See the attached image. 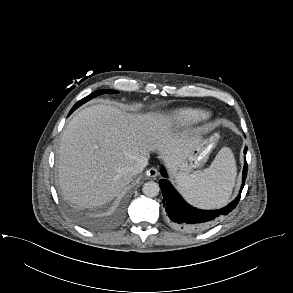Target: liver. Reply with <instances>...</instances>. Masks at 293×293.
I'll return each mask as SVG.
<instances>
[{
  "label": "liver",
  "mask_w": 293,
  "mask_h": 293,
  "mask_svg": "<svg viewBox=\"0 0 293 293\" xmlns=\"http://www.w3.org/2000/svg\"><path fill=\"white\" fill-rule=\"evenodd\" d=\"M201 141L200 135L176 132L161 113L134 115L98 104L76 114L59 147V184L71 204L101 206L125 190L130 167L151 151L175 173Z\"/></svg>",
  "instance_id": "obj_1"
}]
</instances>
